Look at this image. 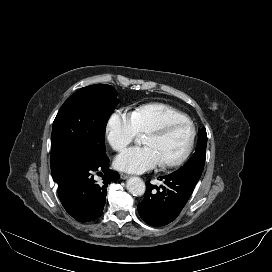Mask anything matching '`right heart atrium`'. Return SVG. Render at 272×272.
<instances>
[{
	"label": "right heart atrium",
	"instance_id": "d8ad5b80",
	"mask_svg": "<svg viewBox=\"0 0 272 272\" xmlns=\"http://www.w3.org/2000/svg\"><path fill=\"white\" fill-rule=\"evenodd\" d=\"M106 140L115 151H121L138 135L133 114L124 109L114 110L105 127Z\"/></svg>",
	"mask_w": 272,
	"mask_h": 272
}]
</instances>
